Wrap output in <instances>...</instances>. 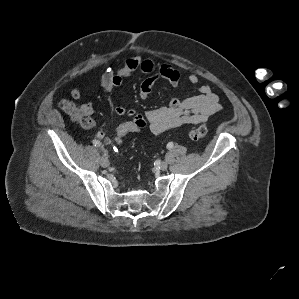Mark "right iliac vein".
Returning <instances> with one entry per match:
<instances>
[{
    "instance_id": "1",
    "label": "right iliac vein",
    "mask_w": 299,
    "mask_h": 299,
    "mask_svg": "<svg viewBox=\"0 0 299 299\" xmlns=\"http://www.w3.org/2000/svg\"><path fill=\"white\" fill-rule=\"evenodd\" d=\"M100 164L101 166L103 167H108L109 166V160L108 158L106 157V155H102L101 158H100Z\"/></svg>"
}]
</instances>
